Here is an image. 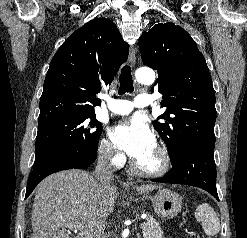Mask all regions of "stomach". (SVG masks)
Returning a JSON list of instances; mask_svg holds the SVG:
<instances>
[{
  "instance_id": "obj_1",
  "label": "stomach",
  "mask_w": 247,
  "mask_h": 238,
  "mask_svg": "<svg viewBox=\"0 0 247 238\" xmlns=\"http://www.w3.org/2000/svg\"><path fill=\"white\" fill-rule=\"evenodd\" d=\"M147 198L152 201L156 214L164 220L172 219L181 210L182 198L174 191L160 189Z\"/></svg>"
}]
</instances>
